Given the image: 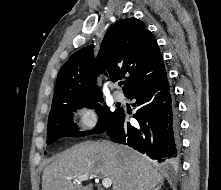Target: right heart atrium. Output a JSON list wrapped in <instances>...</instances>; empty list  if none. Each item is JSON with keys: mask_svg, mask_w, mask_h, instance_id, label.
<instances>
[{"mask_svg": "<svg viewBox=\"0 0 221 190\" xmlns=\"http://www.w3.org/2000/svg\"><path fill=\"white\" fill-rule=\"evenodd\" d=\"M75 121L82 132H91L99 124L98 109L93 104H82L76 110Z\"/></svg>", "mask_w": 221, "mask_h": 190, "instance_id": "1", "label": "right heart atrium"}]
</instances>
